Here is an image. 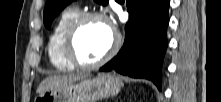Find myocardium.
Wrapping results in <instances>:
<instances>
[{
    "instance_id": "f54148a6",
    "label": "myocardium",
    "mask_w": 221,
    "mask_h": 102,
    "mask_svg": "<svg viewBox=\"0 0 221 102\" xmlns=\"http://www.w3.org/2000/svg\"><path fill=\"white\" fill-rule=\"evenodd\" d=\"M89 20H100L107 23L110 27V23L107 17L100 12L91 11V12L80 13L69 25L63 43V53L66 60L74 67L81 69H94L105 64L113 57V55L115 54V52L119 47V42H120L118 34L116 33L115 30H113L110 27L112 31V44L108 49V51L97 61L94 62L81 61L75 53V38L80 27Z\"/></svg>"
}]
</instances>
